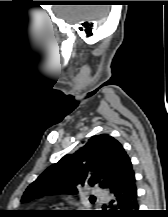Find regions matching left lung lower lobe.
Returning <instances> with one entry per match:
<instances>
[{
  "mask_svg": "<svg viewBox=\"0 0 168 217\" xmlns=\"http://www.w3.org/2000/svg\"><path fill=\"white\" fill-rule=\"evenodd\" d=\"M115 210L105 212L115 217H136L138 214L137 188L135 185L134 172H130L122 186L110 191Z\"/></svg>",
  "mask_w": 168,
  "mask_h": 217,
  "instance_id": "obj_1",
  "label": "left lung lower lobe"
}]
</instances>
